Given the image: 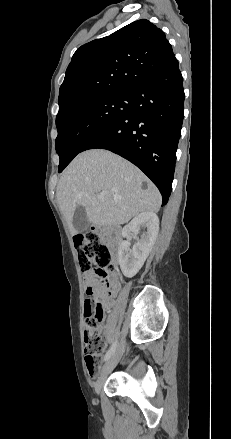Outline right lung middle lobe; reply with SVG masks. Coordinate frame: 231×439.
Here are the masks:
<instances>
[{"label":"right lung middle lobe","mask_w":231,"mask_h":439,"mask_svg":"<svg viewBox=\"0 0 231 439\" xmlns=\"http://www.w3.org/2000/svg\"><path fill=\"white\" fill-rule=\"evenodd\" d=\"M132 94L102 95L83 100L56 116V152L59 172L81 152L84 145L126 114Z\"/></svg>","instance_id":"dd1d6c3e"}]
</instances>
